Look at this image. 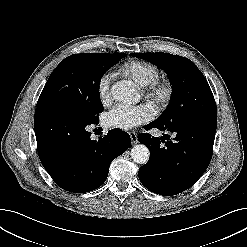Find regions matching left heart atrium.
Instances as JSON below:
<instances>
[{
    "label": "left heart atrium",
    "instance_id": "1",
    "mask_svg": "<svg viewBox=\"0 0 247 247\" xmlns=\"http://www.w3.org/2000/svg\"><path fill=\"white\" fill-rule=\"evenodd\" d=\"M155 115V110L150 104L137 106L116 105L105 116L108 126L122 130H130L148 122Z\"/></svg>",
    "mask_w": 247,
    "mask_h": 247
}]
</instances>
